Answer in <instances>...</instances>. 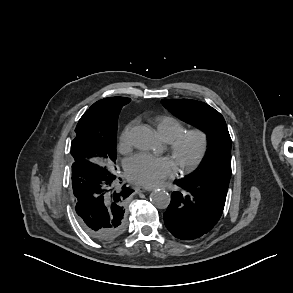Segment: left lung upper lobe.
<instances>
[{
	"label": "left lung upper lobe",
	"instance_id": "1",
	"mask_svg": "<svg viewBox=\"0 0 293 293\" xmlns=\"http://www.w3.org/2000/svg\"><path fill=\"white\" fill-rule=\"evenodd\" d=\"M162 104L181 120L204 131L209 138V153L203 166L186 178L229 185L232 141L223 116L208 104L196 100L163 99Z\"/></svg>",
	"mask_w": 293,
	"mask_h": 293
}]
</instances>
